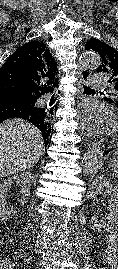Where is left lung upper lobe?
<instances>
[{"instance_id":"left-lung-upper-lobe-1","label":"left lung upper lobe","mask_w":118,"mask_h":269,"mask_svg":"<svg viewBox=\"0 0 118 269\" xmlns=\"http://www.w3.org/2000/svg\"><path fill=\"white\" fill-rule=\"evenodd\" d=\"M85 49L99 53L102 64L97 68V72L106 73L110 78L108 82L114 87L113 98L105 97L104 99L110 103L118 104V51L98 39L87 41Z\"/></svg>"}]
</instances>
